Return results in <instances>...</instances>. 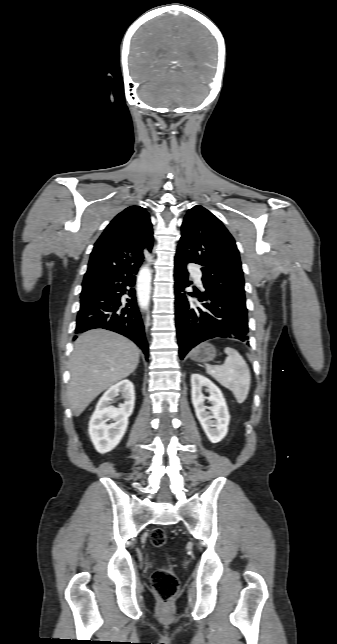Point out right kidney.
<instances>
[{
    "mask_svg": "<svg viewBox=\"0 0 337 644\" xmlns=\"http://www.w3.org/2000/svg\"><path fill=\"white\" fill-rule=\"evenodd\" d=\"M120 393L124 403L119 404L118 408L111 406L114 398ZM134 403V385L129 380H122L111 386L100 398L88 429L91 441L99 453L109 452L119 444L126 432ZM109 421L112 423L108 424Z\"/></svg>",
    "mask_w": 337,
    "mask_h": 644,
    "instance_id": "obj_1",
    "label": "right kidney"
}]
</instances>
